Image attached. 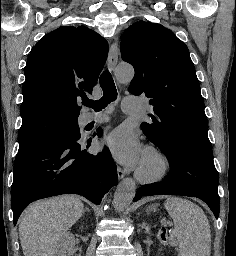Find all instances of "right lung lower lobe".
<instances>
[{
	"label": "right lung lower lobe",
	"mask_w": 236,
	"mask_h": 256,
	"mask_svg": "<svg viewBox=\"0 0 236 256\" xmlns=\"http://www.w3.org/2000/svg\"><path fill=\"white\" fill-rule=\"evenodd\" d=\"M101 133L98 129L97 135ZM91 141L81 135L58 136L18 152L11 188L14 225L28 204L46 197L74 193L100 204L118 176L108 148L91 154Z\"/></svg>",
	"instance_id": "1"
}]
</instances>
